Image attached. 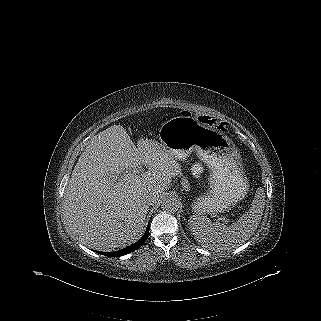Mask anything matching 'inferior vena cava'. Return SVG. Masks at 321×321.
<instances>
[{"label": "inferior vena cava", "mask_w": 321, "mask_h": 321, "mask_svg": "<svg viewBox=\"0 0 321 321\" xmlns=\"http://www.w3.org/2000/svg\"><path fill=\"white\" fill-rule=\"evenodd\" d=\"M142 203L146 206H150L155 203V198L150 194H145L142 198Z\"/></svg>", "instance_id": "obj_1"}]
</instances>
